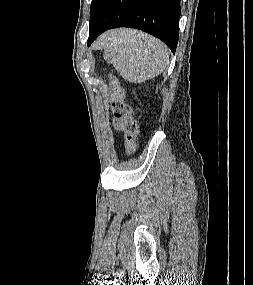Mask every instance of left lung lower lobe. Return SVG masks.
I'll list each match as a JSON object with an SVG mask.
<instances>
[{"mask_svg": "<svg viewBox=\"0 0 253 285\" xmlns=\"http://www.w3.org/2000/svg\"><path fill=\"white\" fill-rule=\"evenodd\" d=\"M180 14L179 0H108L89 28L88 45L108 29L131 27L161 39L175 53Z\"/></svg>", "mask_w": 253, "mask_h": 285, "instance_id": "0a47b994", "label": "left lung lower lobe"}]
</instances>
